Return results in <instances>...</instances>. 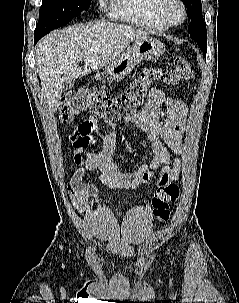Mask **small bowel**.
Masks as SVG:
<instances>
[{"instance_id": "c3829d8e", "label": "small bowel", "mask_w": 239, "mask_h": 303, "mask_svg": "<svg viewBox=\"0 0 239 303\" xmlns=\"http://www.w3.org/2000/svg\"><path fill=\"white\" fill-rule=\"evenodd\" d=\"M164 103L169 111L165 118L160 114ZM183 112L184 108L168 97L161 88L155 87L151 90L143 110L126 121L135 124L144 134L151 145L153 157L150 163H142L129 171L121 169L114 161V154L120 142L115 124L107 123L111 131L102 134L97 119L88 116L70 136L74 162L78 167L76 178L80 179L88 171H98L100 184L111 189H135L155 177L157 189L173 184L181 173L180 159L177 156L172 159L171 154L179 155L182 151ZM91 144H96L97 149L86 151ZM97 194L98 188L95 185L82 186L76 194V209L81 213L85 212L89 206V197Z\"/></svg>"}]
</instances>
